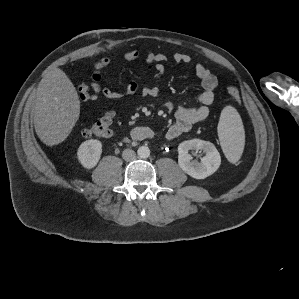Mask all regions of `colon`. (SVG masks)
Instances as JSON below:
<instances>
[{
    "mask_svg": "<svg viewBox=\"0 0 299 299\" xmlns=\"http://www.w3.org/2000/svg\"><path fill=\"white\" fill-rule=\"evenodd\" d=\"M79 93L82 99L92 100L94 95L86 84L79 85ZM229 96L236 103L240 101L239 90L235 85H229L227 88ZM114 114L113 112L105 113L101 118L96 120L90 127L82 130L85 137H108L112 133Z\"/></svg>",
    "mask_w": 299,
    "mask_h": 299,
    "instance_id": "5ec220e1",
    "label": "colon"
}]
</instances>
